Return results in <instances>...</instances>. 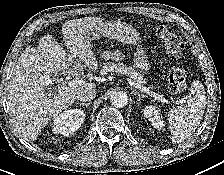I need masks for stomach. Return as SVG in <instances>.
Wrapping results in <instances>:
<instances>
[{
  "instance_id": "1",
  "label": "stomach",
  "mask_w": 224,
  "mask_h": 175,
  "mask_svg": "<svg viewBox=\"0 0 224 175\" xmlns=\"http://www.w3.org/2000/svg\"><path fill=\"white\" fill-rule=\"evenodd\" d=\"M91 41L98 40L101 36L117 40L124 44L136 45L139 42V34L136 30L126 23L120 21L105 22L94 27L88 34ZM102 58L108 60L114 58L111 54L102 53ZM134 66L137 69L147 71L149 63L142 50H137L134 56Z\"/></svg>"
}]
</instances>
